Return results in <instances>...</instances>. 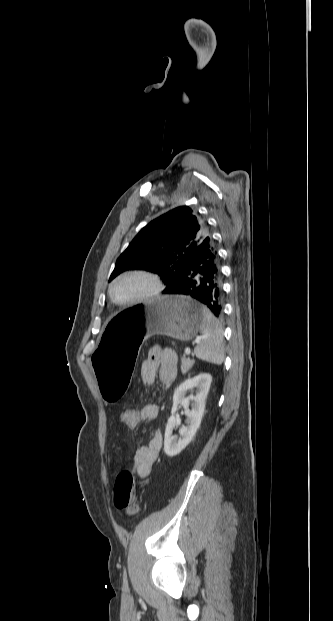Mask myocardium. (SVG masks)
Returning <instances> with one entry per match:
<instances>
[{
    "mask_svg": "<svg viewBox=\"0 0 333 621\" xmlns=\"http://www.w3.org/2000/svg\"><path fill=\"white\" fill-rule=\"evenodd\" d=\"M130 276H138V277L146 278L151 283V289L138 298L128 300V301H119L116 299L113 293V287L119 280L125 277H130ZM162 290H163V284H162L160 277L152 271H149L146 269H140V268L129 269V270H126L120 273L110 282L109 287H108V293H109L110 299L112 300L113 303L119 306H133V305H137L140 303L150 301L158 297L161 294Z\"/></svg>",
    "mask_w": 333,
    "mask_h": 621,
    "instance_id": "1",
    "label": "myocardium"
}]
</instances>
